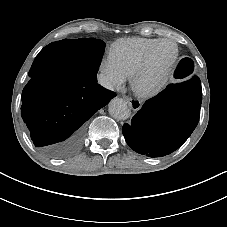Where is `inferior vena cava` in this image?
Returning a JSON list of instances; mask_svg holds the SVG:
<instances>
[{"label":"inferior vena cava","instance_id":"602c4592","mask_svg":"<svg viewBox=\"0 0 227 227\" xmlns=\"http://www.w3.org/2000/svg\"><path fill=\"white\" fill-rule=\"evenodd\" d=\"M97 80L101 86H103L107 89L113 90L114 86H113L112 82L110 81V78L108 76H106L105 74H103V73L98 74Z\"/></svg>","mask_w":227,"mask_h":227}]
</instances>
